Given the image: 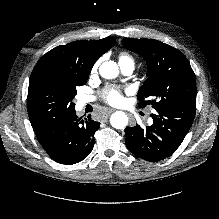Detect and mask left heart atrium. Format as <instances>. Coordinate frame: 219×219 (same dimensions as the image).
<instances>
[{
    "instance_id": "1",
    "label": "left heart atrium",
    "mask_w": 219,
    "mask_h": 219,
    "mask_svg": "<svg viewBox=\"0 0 219 219\" xmlns=\"http://www.w3.org/2000/svg\"><path fill=\"white\" fill-rule=\"evenodd\" d=\"M102 96L105 102L110 105H118L123 101L121 90L115 86H107L102 91Z\"/></svg>"
}]
</instances>
